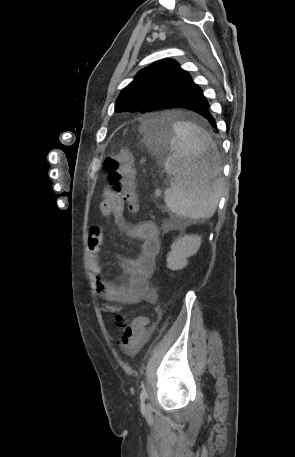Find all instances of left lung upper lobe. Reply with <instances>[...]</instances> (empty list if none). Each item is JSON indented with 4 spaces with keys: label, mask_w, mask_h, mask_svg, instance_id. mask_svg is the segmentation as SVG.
<instances>
[{
    "label": "left lung upper lobe",
    "mask_w": 295,
    "mask_h": 457,
    "mask_svg": "<svg viewBox=\"0 0 295 457\" xmlns=\"http://www.w3.org/2000/svg\"><path fill=\"white\" fill-rule=\"evenodd\" d=\"M189 73L171 59L158 61L142 69L116 100L115 110L151 112L160 101L191 85Z\"/></svg>",
    "instance_id": "5c2ea615"
}]
</instances>
